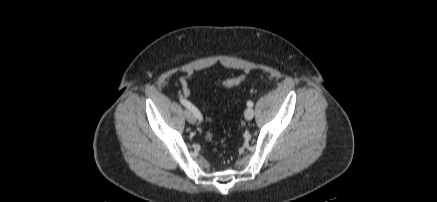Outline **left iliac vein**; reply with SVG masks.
<instances>
[{
  "mask_svg": "<svg viewBox=\"0 0 437 202\" xmlns=\"http://www.w3.org/2000/svg\"><path fill=\"white\" fill-rule=\"evenodd\" d=\"M244 116H245L246 120H251L254 116V110L252 108L248 107L245 110Z\"/></svg>",
  "mask_w": 437,
  "mask_h": 202,
  "instance_id": "obj_1",
  "label": "left iliac vein"
}]
</instances>
